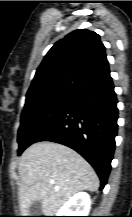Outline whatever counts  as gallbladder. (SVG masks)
<instances>
[{
  "instance_id": "1",
  "label": "gallbladder",
  "mask_w": 132,
  "mask_h": 217,
  "mask_svg": "<svg viewBox=\"0 0 132 217\" xmlns=\"http://www.w3.org/2000/svg\"><path fill=\"white\" fill-rule=\"evenodd\" d=\"M42 213V203L40 200L34 201L29 208V216H40Z\"/></svg>"
}]
</instances>
